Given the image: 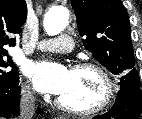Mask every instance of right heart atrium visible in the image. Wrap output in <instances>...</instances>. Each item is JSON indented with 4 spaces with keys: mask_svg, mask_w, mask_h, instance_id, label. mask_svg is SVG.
<instances>
[{
    "mask_svg": "<svg viewBox=\"0 0 142 119\" xmlns=\"http://www.w3.org/2000/svg\"><path fill=\"white\" fill-rule=\"evenodd\" d=\"M22 94L24 97L26 98H32L34 93L33 90L31 89V87L28 84H23L22 85Z\"/></svg>",
    "mask_w": 142,
    "mask_h": 119,
    "instance_id": "1",
    "label": "right heart atrium"
}]
</instances>
